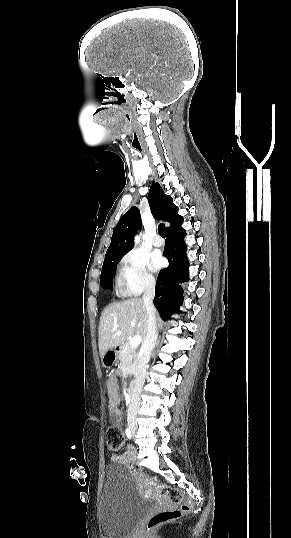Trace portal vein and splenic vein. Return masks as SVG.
<instances>
[{
	"mask_svg": "<svg viewBox=\"0 0 291 538\" xmlns=\"http://www.w3.org/2000/svg\"><path fill=\"white\" fill-rule=\"evenodd\" d=\"M132 326L135 325V323H132L131 324ZM141 343V337L139 335H135L133 338H131L130 340V345L133 347V348H136L138 345H140Z\"/></svg>",
	"mask_w": 291,
	"mask_h": 538,
	"instance_id": "18ae733b",
	"label": "portal vein and splenic vein"
}]
</instances>
